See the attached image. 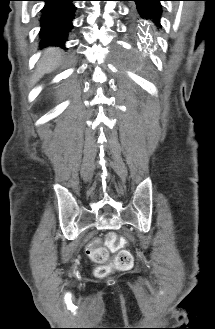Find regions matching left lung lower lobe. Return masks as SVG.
I'll return each instance as SVG.
<instances>
[{
    "mask_svg": "<svg viewBox=\"0 0 215 329\" xmlns=\"http://www.w3.org/2000/svg\"><path fill=\"white\" fill-rule=\"evenodd\" d=\"M135 1L137 10L142 17L153 19L156 24H159V19L162 13L161 1L165 0H132Z\"/></svg>",
    "mask_w": 215,
    "mask_h": 329,
    "instance_id": "left-lung-lower-lobe-1",
    "label": "left lung lower lobe"
}]
</instances>
